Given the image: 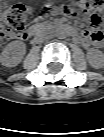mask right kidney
I'll use <instances>...</instances> for the list:
<instances>
[{"label": "right kidney", "instance_id": "obj_1", "mask_svg": "<svg viewBox=\"0 0 104 137\" xmlns=\"http://www.w3.org/2000/svg\"><path fill=\"white\" fill-rule=\"evenodd\" d=\"M26 47L21 41L10 42L0 55V62L6 67L17 66L25 55Z\"/></svg>", "mask_w": 104, "mask_h": 137}]
</instances>
